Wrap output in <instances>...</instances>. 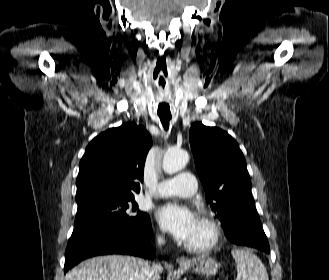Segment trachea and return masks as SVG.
I'll list each match as a JSON object with an SVG mask.
<instances>
[{
	"label": "trachea",
	"mask_w": 329,
	"mask_h": 280,
	"mask_svg": "<svg viewBox=\"0 0 329 280\" xmlns=\"http://www.w3.org/2000/svg\"><path fill=\"white\" fill-rule=\"evenodd\" d=\"M158 116L160 117L161 123L165 130L169 128V122L171 120V114H163V113H158Z\"/></svg>",
	"instance_id": "obj_1"
}]
</instances>
